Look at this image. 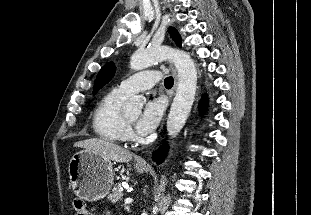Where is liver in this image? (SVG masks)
<instances>
[{
	"mask_svg": "<svg viewBox=\"0 0 311 215\" xmlns=\"http://www.w3.org/2000/svg\"><path fill=\"white\" fill-rule=\"evenodd\" d=\"M74 147L83 148L86 151L97 154L108 161L127 163L133 158L130 151L116 144L98 138L78 141L74 144Z\"/></svg>",
	"mask_w": 311,
	"mask_h": 215,
	"instance_id": "6515ba94",
	"label": "liver"
}]
</instances>
